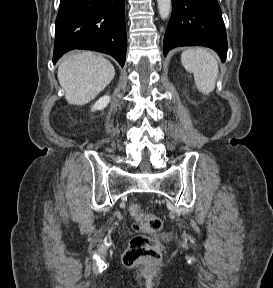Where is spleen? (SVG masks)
<instances>
[{
	"label": "spleen",
	"mask_w": 273,
	"mask_h": 288,
	"mask_svg": "<svg viewBox=\"0 0 273 288\" xmlns=\"http://www.w3.org/2000/svg\"><path fill=\"white\" fill-rule=\"evenodd\" d=\"M184 68L194 75L197 89L203 94L215 88L219 68L214 55L205 48H189L181 54Z\"/></svg>",
	"instance_id": "3e777b00"
}]
</instances>
